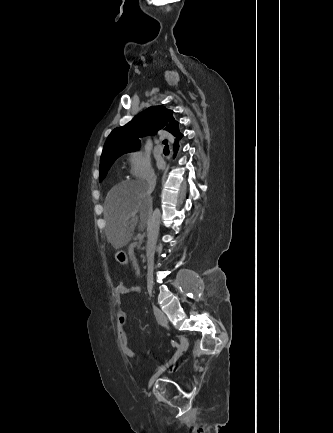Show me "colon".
<instances>
[{"instance_id":"obj_1","label":"colon","mask_w":333,"mask_h":433,"mask_svg":"<svg viewBox=\"0 0 333 433\" xmlns=\"http://www.w3.org/2000/svg\"><path fill=\"white\" fill-rule=\"evenodd\" d=\"M113 255L115 257L114 263L116 265H121L124 269H127L130 266V263L126 259L128 255L126 249H115Z\"/></svg>"}]
</instances>
